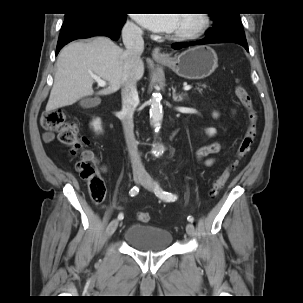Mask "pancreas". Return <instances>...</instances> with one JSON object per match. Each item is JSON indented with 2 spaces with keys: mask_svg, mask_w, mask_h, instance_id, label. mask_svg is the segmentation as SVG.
Listing matches in <instances>:
<instances>
[{
  "mask_svg": "<svg viewBox=\"0 0 303 303\" xmlns=\"http://www.w3.org/2000/svg\"><path fill=\"white\" fill-rule=\"evenodd\" d=\"M200 86H202L203 88H206V85H205V84L200 85ZM197 90L201 91V90H202V88L197 87Z\"/></svg>",
  "mask_w": 303,
  "mask_h": 303,
  "instance_id": "obj_1",
  "label": "pancreas"
}]
</instances>
